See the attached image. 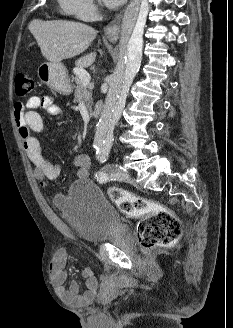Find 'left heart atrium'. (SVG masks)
Wrapping results in <instances>:
<instances>
[{"label":"left heart atrium","instance_id":"obj_1","mask_svg":"<svg viewBox=\"0 0 233 328\" xmlns=\"http://www.w3.org/2000/svg\"><path fill=\"white\" fill-rule=\"evenodd\" d=\"M103 1L110 8L118 7L124 2V0H103Z\"/></svg>","mask_w":233,"mask_h":328}]
</instances>
